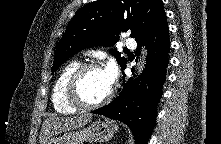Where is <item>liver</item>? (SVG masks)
<instances>
[{"label":"liver","mask_w":221,"mask_h":144,"mask_svg":"<svg viewBox=\"0 0 221 144\" xmlns=\"http://www.w3.org/2000/svg\"><path fill=\"white\" fill-rule=\"evenodd\" d=\"M92 119L91 114L69 117L47 118L40 133V144H47L59 133L70 131L85 126Z\"/></svg>","instance_id":"obj_1"}]
</instances>
